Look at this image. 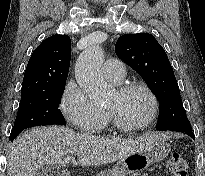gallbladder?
<instances>
[{"mask_svg": "<svg viewBox=\"0 0 205 176\" xmlns=\"http://www.w3.org/2000/svg\"><path fill=\"white\" fill-rule=\"evenodd\" d=\"M36 176H63V169L56 165L45 164L39 168Z\"/></svg>", "mask_w": 205, "mask_h": 176, "instance_id": "1", "label": "gallbladder"}]
</instances>
